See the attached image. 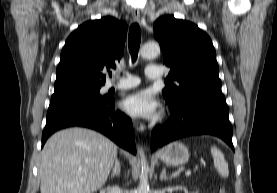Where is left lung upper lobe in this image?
Listing matches in <instances>:
<instances>
[{
	"mask_svg": "<svg viewBox=\"0 0 277 193\" xmlns=\"http://www.w3.org/2000/svg\"><path fill=\"white\" fill-rule=\"evenodd\" d=\"M163 63L171 68L170 77L178 82L163 90L166 102L176 107L191 93L221 89L216 51L209 36L189 21L162 16L153 25Z\"/></svg>",
	"mask_w": 277,
	"mask_h": 193,
	"instance_id": "5c2ea615",
	"label": "left lung upper lobe"
}]
</instances>
